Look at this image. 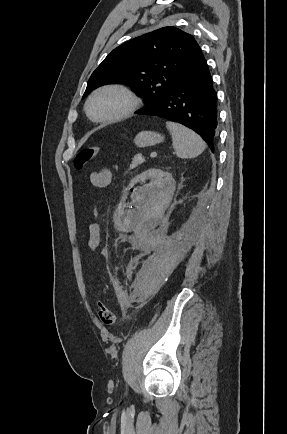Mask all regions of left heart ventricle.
<instances>
[{
	"mask_svg": "<svg viewBox=\"0 0 287 434\" xmlns=\"http://www.w3.org/2000/svg\"><path fill=\"white\" fill-rule=\"evenodd\" d=\"M125 105L124 97L116 92H108L98 96L91 105L95 117H104L119 112Z\"/></svg>",
	"mask_w": 287,
	"mask_h": 434,
	"instance_id": "left-heart-ventricle-1",
	"label": "left heart ventricle"
}]
</instances>
